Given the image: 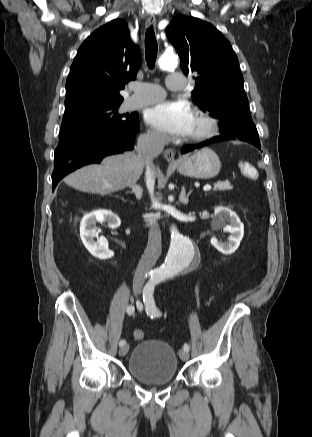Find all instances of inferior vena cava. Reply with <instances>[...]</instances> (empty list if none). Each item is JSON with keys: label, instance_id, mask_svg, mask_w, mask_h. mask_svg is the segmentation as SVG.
<instances>
[{"label": "inferior vena cava", "instance_id": "inferior-vena-cava-1", "mask_svg": "<svg viewBox=\"0 0 312 437\" xmlns=\"http://www.w3.org/2000/svg\"><path fill=\"white\" fill-rule=\"evenodd\" d=\"M166 143V135L155 130L147 131L146 134L139 136L137 141V153L143 159L146 166L145 183L151 197L152 207L157 209L160 207L159 202L154 196L155 186V166L154 158L159 155ZM161 253V231L156 218L153 219L148 234L147 247L139 261L136 272L139 274L149 272L155 265Z\"/></svg>", "mask_w": 312, "mask_h": 437}]
</instances>
